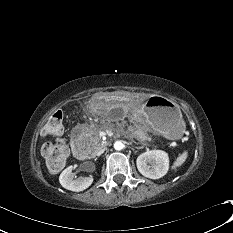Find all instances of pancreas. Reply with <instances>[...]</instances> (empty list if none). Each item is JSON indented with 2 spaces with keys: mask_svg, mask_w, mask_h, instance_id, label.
I'll return each mask as SVG.
<instances>
[{
  "mask_svg": "<svg viewBox=\"0 0 233 233\" xmlns=\"http://www.w3.org/2000/svg\"><path fill=\"white\" fill-rule=\"evenodd\" d=\"M91 144H92V148L94 150H97L100 146V139L98 137L97 131L96 130H91ZM133 136L139 140L142 144H144L145 141L150 140V137L148 135L147 129L145 126H140L138 127L134 132H133Z\"/></svg>",
  "mask_w": 233,
  "mask_h": 233,
  "instance_id": "1",
  "label": "pancreas"
}]
</instances>
